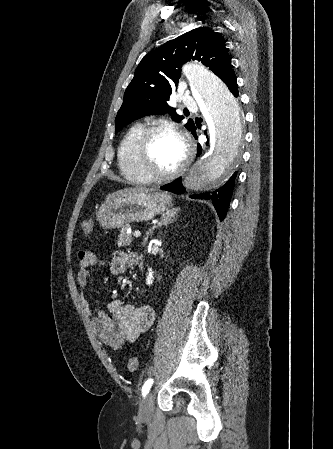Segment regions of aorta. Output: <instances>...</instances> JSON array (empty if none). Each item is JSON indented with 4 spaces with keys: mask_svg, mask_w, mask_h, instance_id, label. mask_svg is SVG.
<instances>
[{
    "mask_svg": "<svg viewBox=\"0 0 333 449\" xmlns=\"http://www.w3.org/2000/svg\"><path fill=\"white\" fill-rule=\"evenodd\" d=\"M195 99L211 122V149L202 154L185 175L184 186L192 192L217 190L234 168L242 145L239 106L227 86L199 63L183 67Z\"/></svg>",
    "mask_w": 333,
    "mask_h": 449,
    "instance_id": "1",
    "label": "aorta"
}]
</instances>
